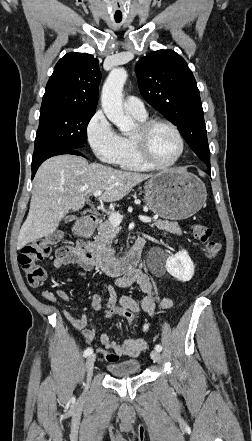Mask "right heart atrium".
<instances>
[{
  "label": "right heart atrium",
  "instance_id": "1",
  "mask_svg": "<svg viewBox=\"0 0 252 441\" xmlns=\"http://www.w3.org/2000/svg\"><path fill=\"white\" fill-rule=\"evenodd\" d=\"M87 142L102 162L117 164L122 152V136L114 129L103 111L94 113L86 126Z\"/></svg>",
  "mask_w": 252,
  "mask_h": 441
}]
</instances>
